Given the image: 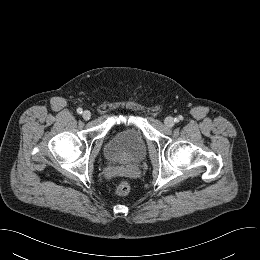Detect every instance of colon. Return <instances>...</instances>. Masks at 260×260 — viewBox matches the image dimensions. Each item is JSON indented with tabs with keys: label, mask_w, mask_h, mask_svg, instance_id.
Here are the masks:
<instances>
[{
	"label": "colon",
	"mask_w": 260,
	"mask_h": 260,
	"mask_svg": "<svg viewBox=\"0 0 260 260\" xmlns=\"http://www.w3.org/2000/svg\"><path fill=\"white\" fill-rule=\"evenodd\" d=\"M130 190H131V186L129 182L123 180L120 181L116 186L115 193L117 196H126L129 194Z\"/></svg>",
	"instance_id": "obj_1"
}]
</instances>
